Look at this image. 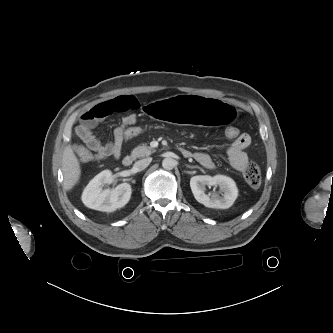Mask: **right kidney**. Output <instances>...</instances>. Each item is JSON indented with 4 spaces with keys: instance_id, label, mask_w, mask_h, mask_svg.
I'll return each instance as SVG.
<instances>
[{
    "instance_id": "1",
    "label": "right kidney",
    "mask_w": 333,
    "mask_h": 333,
    "mask_svg": "<svg viewBox=\"0 0 333 333\" xmlns=\"http://www.w3.org/2000/svg\"><path fill=\"white\" fill-rule=\"evenodd\" d=\"M111 181L112 172L110 170H104L96 175L82 193L84 205L88 208L105 212H113L125 206L131 198L130 184L122 183L112 190L101 189L102 185L109 184Z\"/></svg>"
}]
</instances>
